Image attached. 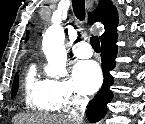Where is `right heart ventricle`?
I'll use <instances>...</instances> for the list:
<instances>
[{"label": "right heart ventricle", "mask_w": 145, "mask_h": 124, "mask_svg": "<svg viewBox=\"0 0 145 124\" xmlns=\"http://www.w3.org/2000/svg\"><path fill=\"white\" fill-rule=\"evenodd\" d=\"M24 102L26 107L51 112L58 110L51 101L47 80H40L36 76L34 66H31L24 79Z\"/></svg>", "instance_id": "e07e8e85"}]
</instances>
